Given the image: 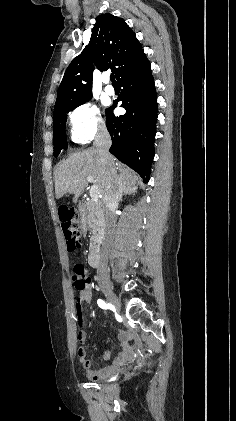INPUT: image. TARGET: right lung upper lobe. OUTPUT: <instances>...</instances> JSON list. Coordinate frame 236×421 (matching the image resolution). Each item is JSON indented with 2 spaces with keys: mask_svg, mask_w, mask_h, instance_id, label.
<instances>
[{
  "mask_svg": "<svg viewBox=\"0 0 236 421\" xmlns=\"http://www.w3.org/2000/svg\"><path fill=\"white\" fill-rule=\"evenodd\" d=\"M142 46L124 19L106 13L96 18L89 45L70 63L59 86L54 109L92 95L93 65L111 69L116 78L143 57Z\"/></svg>",
  "mask_w": 236,
  "mask_h": 421,
  "instance_id": "1",
  "label": "right lung upper lobe"
}]
</instances>
